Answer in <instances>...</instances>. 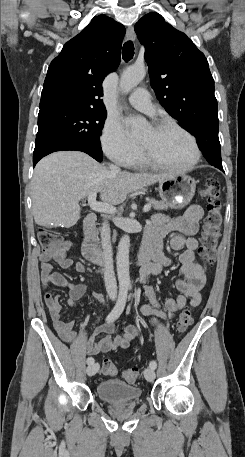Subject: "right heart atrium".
Segmentation results:
<instances>
[{
  "label": "right heart atrium",
  "instance_id": "right-heart-atrium-1",
  "mask_svg": "<svg viewBox=\"0 0 245 457\" xmlns=\"http://www.w3.org/2000/svg\"><path fill=\"white\" fill-rule=\"evenodd\" d=\"M101 143L106 154L113 160L127 164L137 153V145L126 135L122 124L115 118H107Z\"/></svg>",
  "mask_w": 245,
  "mask_h": 457
}]
</instances>
